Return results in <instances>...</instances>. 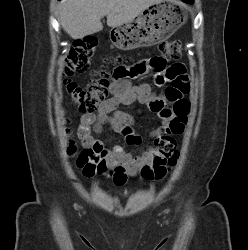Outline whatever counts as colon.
Here are the masks:
<instances>
[{"label":"colon","mask_w":248,"mask_h":250,"mask_svg":"<svg viewBox=\"0 0 248 250\" xmlns=\"http://www.w3.org/2000/svg\"><path fill=\"white\" fill-rule=\"evenodd\" d=\"M96 46L97 42L92 37L78 40L71 48L64 63V75L67 78L64 84L67 93L77 108L84 113H93L99 109L108 95L112 82L111 74L106 70L95 71L94 78L87 87H82L77 82L68 79L77 73L85 72L89 68ZM158 49L162 57H156L152 60V64L157 70L155 82L158 86H163L170 81V85L165 90V95L167 101L174 103L176 100H181L180 95L171 87L174 76L172 74H162L161 65L167 59H178L181 57V43L177 40L162 41L158 44ZM116 61L121 63L122 59L117 58ZM124 74L127 75L129 72H124ZM130 74L134 75L133 72H130ZM155 106L163 107L165 103L159 101ZM177 109H182L181 104L177 105ZM154 146V161L152 165L145 166L143 172L149 178L161 179L171 167L175 166L179 158V151L174 137L168 134H162L157 137ZM67 150L69 154H74L76 152L75 143L70 142ZM95 159H97V155L92 149H83L78 155V166L89 167L94 170L93 161Z\"/></svg>","instance_id":"1"}]
</instances>
